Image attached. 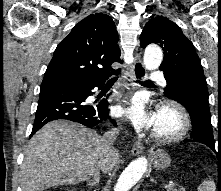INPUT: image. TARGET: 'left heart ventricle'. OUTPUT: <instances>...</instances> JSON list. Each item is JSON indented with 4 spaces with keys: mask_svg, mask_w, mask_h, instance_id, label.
I'll use <instances>...</instances> for the list:
<instances>
[{
    "mask_svg": "<svg viewBox=\"0 0 221 191\" xmlns=\"http://www.w3.org/2000/svg\"><path fill=\"white\" fill-rule=\"evenodd\" d=\"M176 127V119L169 112L160 113L155 128L161 132H170Z\"/></svg>",
    "mask_w": 221,
    "mask_h": 191,
    "instance_id": "obj_1",
    "label": "left heart ventricle"
}]
</instances>
